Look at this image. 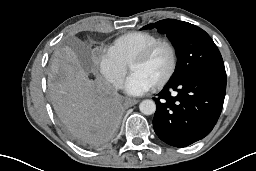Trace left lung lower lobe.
Returning a JSON list of instances; mask_svg holds the SVG:
<instances>
[{"label":"left lung lower lobe","instance_id":"left-lung-lower-lobe-1","mask_svg":"<svg viewBox=\"0 0 256 171\" xmlns=\"http://www.w3.org/2000/svg\"><path fill=\"white\" fill-rule=\"evenodd\" d=\"M225 92V69L193 71L168 82L158 98H154L155 133L175 147H185L204 138L220 116Z\"/></svg>","mask_w":256,"mask_h":171}]
</instances>
